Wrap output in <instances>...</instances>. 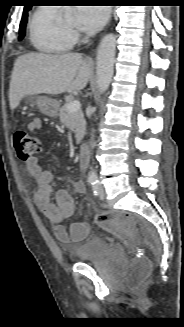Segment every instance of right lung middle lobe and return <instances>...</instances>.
<instances>
[{
    "label": "right lung middle lobe",
    "mask_w": 184,
    "mask_h": 327,
    "mask_svg": "<svg viewBox=\"0 0 184 327\" xmlns=\"http://www.w3.org/2000/svg\"><path fill=\"white\" fill-rule=\"evenodd\" d=\"M27 23V13L23 14L22 20L20 23V29H19V40H22L25 34V28Z\"/></svg>",
    "instance_id": "right-lung-middle-lobe-1"
}]
</instances>
